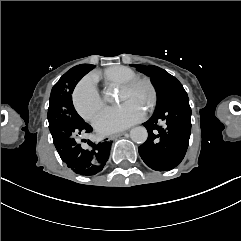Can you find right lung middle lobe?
<instances>
[{
	"label": "right lung middle lobe",
	"instance_id": "obj_1",
	"mask_svg": "<svg viewBox=\"0 0 241 241\" xmlns=\"http://www.w3.org/2000/svg\"><path fill=\"white\" fill-rule=\"evenodd\" d=\"M77 65L66 72L59 81L54 85L50 95V102L48 108L49 129L53 137V142L57 141V137L65 129L79 125L84 120L77 114L74 109L71 93L72 81L77 70L80 68ZM94 68L95 65H92Z\"/></svg>",
	"mask_w": 241,
	"mask_h": 241
}]
</instances>
